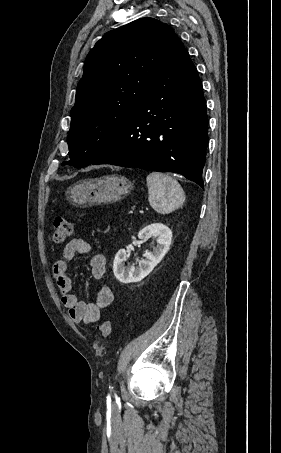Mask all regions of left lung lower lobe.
I'll return each instance as SVG.
<instances>
[{
  "mask_svg": "<svg viewBox=\"0 0 281 453\" xmlns=\"http://www.w3.org/2000/svg\"><path fill=\"white\" fill-rule=\"evenodd\" d=\"M207 126L201 81L176 36L166 63L137 109L92 164L178 173L203 187Z\"/></svg>",
  "mask_w": 281,
  "mask_h": 453,
  "instance_id": "1",
  "label": "left lung lower lobe"
}]
</instances>
